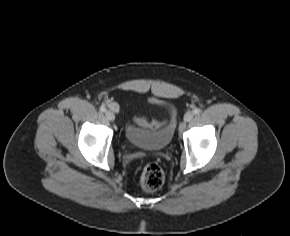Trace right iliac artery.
<instances>
[{
  "label": "right iliac artery",
  "mask_w": 290,
  "mask_h": 236,
  "mask_svg": "<svg viewBox=\"0 0 290 236\" xmlns=\"http://www.w3.org/2000/svg\"><path fill=\"white\" fill-rule=\"evenodd\" d=\"M100 111L105 112L106 111V108L104 106H101L100 107Z\"/></svg>",
  "instance_id": "right-iliac-artery-1"
}]
</instances>
